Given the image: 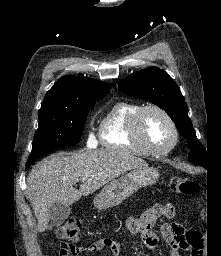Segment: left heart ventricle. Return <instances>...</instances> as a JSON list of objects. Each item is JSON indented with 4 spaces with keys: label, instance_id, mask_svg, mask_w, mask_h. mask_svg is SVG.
<instances>
[{
    "label": "left heart ventricle",
    "instance_id": "1",
    "mask_svg": "<svg viewBox=\"0 0 221 256\" xmlns=\"http://www.w3.org/2000/svg\"><path fill=\"white\" fill-rule=\"evenodd\" d=\"M142 134L147 143L156 149L167 147L173 138L167 120L157 111H147L142 121Z\"/></svg>",
    "mask_w": 221,
    "mask_h": 256
}]
</instances>
